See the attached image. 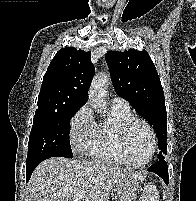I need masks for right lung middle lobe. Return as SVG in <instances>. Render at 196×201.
<instances>
[{
    "mask_svg": "<svg viewBox=\"0 0 196 201\" xmlns=\"http://www.w3.org/2000/svg\"><path fill=\"white\" fill-rule=\"evenodd\" d=\"M78 109L36 110L26 164L50 157H73L69 142V122Z\"/></svg>",
    "mask_w": 196,
    "mask_h": 201,
    "instance_id": "obj_1",
    "label": "right lung middle lobe"
}]
</instances>
